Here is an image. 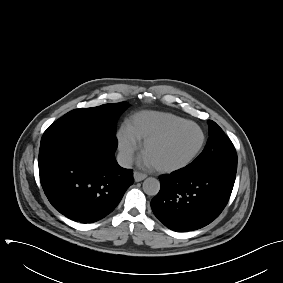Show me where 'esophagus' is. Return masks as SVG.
Listing matches in <instances>:
<instances>
[{
    "label": "esophagus",
    "mask_w": 283,
    "mask_h": 283,
    "mask_svg": "<svg viewBox=\"0 0 283 283\" xmlns=\"http://www.w3.org/2000/svg\"><path fill=\"white\" fill-rule=\"evenodd\" d=\"M133 175H134V179L136 182H140L147 177L146 174L139 172V171H135Z\"/></svg>",
    "instance_id": "34e87169"
}]
</instances>
